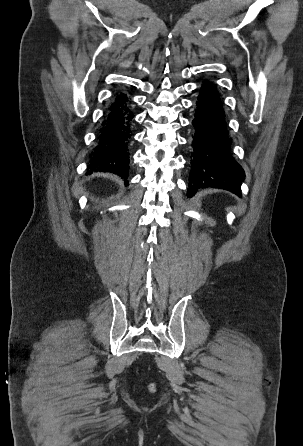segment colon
Returning <instances> with one entry per match:
<instances>
[{
  "mask_svg": "<svg viewBox=\"0 0 303 446\" xmlns=\"http://www.w3.org/2000/svg\"><path fill=\"white\" fill-rule=\"evenodd\" d=\"M150 389H151V390L153 389V386H152V385L150 386Z\"/></svg>",
  "mask_w": 303,
  "mask_h": 446,
  "instance_id": "5ec220e1",
  "label": "colon"
}]
</instances>
